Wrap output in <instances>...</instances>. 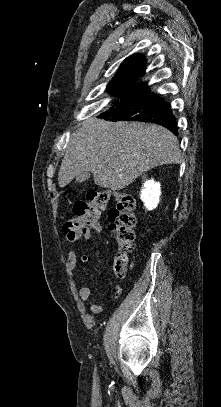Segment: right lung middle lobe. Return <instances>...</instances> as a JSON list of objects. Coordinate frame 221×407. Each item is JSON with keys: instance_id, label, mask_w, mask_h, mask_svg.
<instances>
[{"instance_id": "obj_1", "label": "right lung middle lobe", "mask_w": 221, "mask_h": 407, "mask_svg": "<svg viewBox=\"0 0 221 407\" xmlns=\"http://www.w3.org/2000/svg\"><path fill=\"white\" fill-rule=\"evenodd\" d=\"M141 87H143V85L140 84V85L136 86L135 88H129L128 90H125V89L124 90L108 89V90L110 93H115V96H119L120 99H123V98L129 96L131 93L135 92L136 90L140 89ZM116 102H118V101H116Z\"/></svg>"}]
</instances>
